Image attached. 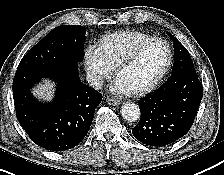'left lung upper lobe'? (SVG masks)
I'll return each mask as SVG.
<instances>
[{"label": "left lung upper lobe", "instance_id": "left-lung-upper-lobe-1", "mask_svg": "<svg viewBox=\"0 0 224 175\" xmlns=\"http://www.w3.org/2000/svg\"><path fill=\"white\" fill-rule=\"evenodd\" d=\"M167 33L173 41L175 51L174 65L172 71H175L176 69H179L181 67H194L187 49L174 36H172L169 32Z\"/></svg>", "mask_w": 224, "mask_h": 175}]
</instances>
